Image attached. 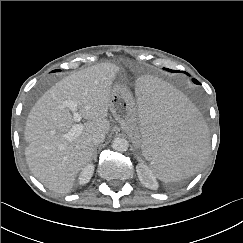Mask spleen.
I'll list each match as a JSON object with an SVG mask.
<instances>
[{"label":"spleen","mask_w":243,"mask_h":243,"mask_svg":"<svg viewBox=\"0 0 243 243\" xmlns=\"http://www.w3.org/2000/svg\"><path fill=\"white\" fill-rule=\"evenodd\" d=\"M133 94L141 160L165 183L193 175L207 153L208 133L188 95L149 75L135 81Z\"/></svg>","instance_id":"3e777b00"}]
</instances>
